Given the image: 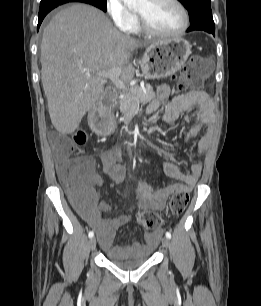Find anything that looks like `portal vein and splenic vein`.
<instances>
[{"label": "portal vein and splenic vein", "mask_w": 261, "mask_h": 306, "mask_svg": "<svg viewBox=\"0 0 261 306\" xmlns=\"http://www.w3.org/2000/svg\"><path fill=\"white\" fill-rule=\"evenodd\" d=\"M121 68H112L107 71L100 72L98 75L102 77V81L110 79L116 87H119L123 90L127 89V85L119 78L121 75Z\"/></svg>", "instance_id": "18ae733b"}]
</instances>
